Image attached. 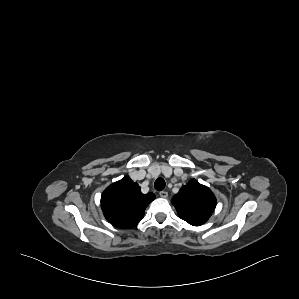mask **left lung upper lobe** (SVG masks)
Returning <instances> with one entry per match:
<instances>
[{"instance_id":"obj_1","label":"left lung upper lobe","mask_w":299,"mask_h":299,"mask_svg":"<svg viewBox=\"0 0 299 299\" xmlns=\"http://www.w3.org/2000/svg\"><path fill=\"white\" fill-rule=\"evenodd\" d=\"M178 216L193 226L204 224L216 207L212 191L197 180H190L172 198Z\"/></svg>"}]
</instances>
